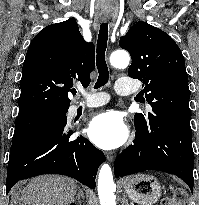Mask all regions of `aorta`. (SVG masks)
Instances as JSON below:
<instances>
[{
	"mask_svg": "<svg viewBox=\"0 0 199 205\" xmlns=\"http://www.w3.org/2000/svg\"><path fill=\"white\" fill-rule=\"evenodd\" d=\"M130 56L124 50H118L111 54L110 63L116 68H125L129 65ZM116 189L113 181L111 167L103 164L98 176V195L101 205H116L114 191Z\"/></svg>",
	"mask_w": 199,
	"mask_h": 205,
	"instance_id": "obj_1",
	"label": "aorta"
}]
</instances>
